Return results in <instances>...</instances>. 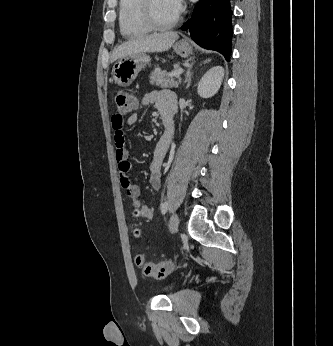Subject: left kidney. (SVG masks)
<instances>
[{"label": "left kidney", "instance_id": "left-kidney-1", "mask_svg": "<svg viewBox=\"0 0 333 346\" xmlns=\"http://www.w3.org/2000/svg\"><path fill=\"white\" fill-rule=\"evenodd\" d=\"M224 69L221 66H215L209 69L198 83L197 92L202 98L214 96L222 83Z\"/></svg>", "mask_w": 333, "mask_h": 346}]
</instances>
